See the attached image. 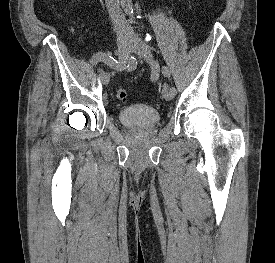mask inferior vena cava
<instances>
[{
  "mask_svg": "<svg viewBox=\"0 0 275 263\" xmlns=\"http://www.w3.org/2000/svg\"><path fill=\"white\" fill-rule=\"evenodd\" d=\"M105 4L116 33L121 34L131 32L132 28L126 21L120 8L119 0H105Z\"/></svg>",
  "mask_w": 275,
  "mask_h": 263,
  "instance_id": "1",
  "label": "inferior vena cava"
}]
</instances>
